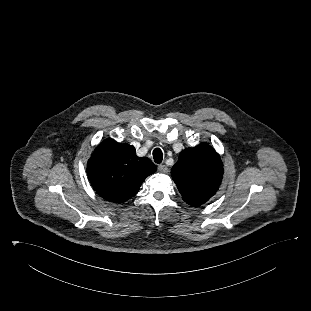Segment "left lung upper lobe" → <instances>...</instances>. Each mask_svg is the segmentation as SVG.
<instances>
[{"label":"left lung upper lobe","mask_w":311,"mask_h":311,"mask_svg":"<svg viewBox=\"0 0 311 311\" xmlns=\"http://www.w3.org/2000/svg\"><path fill=\"white\" fill-rule=\"evenodd\" d=\"M223 172L220 156L207 143L184 149L171 169L184 201L194 207L204 204L216 193Z\"/></svg>","instance_id":"obj_1"}]
</instances>
